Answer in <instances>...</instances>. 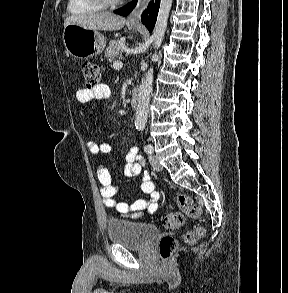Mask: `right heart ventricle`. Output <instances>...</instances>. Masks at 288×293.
<instances>
[{"instance_id": "e07e8e85", "label": "right heart ventricle", "mask_w": 288, "mask_h": 293, "mask_svg": "<svg viewBox=\"0 0 288 293\" xmlns=\"http://www.w3.org/2000/svg\"><path fill=\"white\" fill-rule=\"evenodd\" d=\"M105 8V5L98 0H68L67 9L72 14H85L98 12Z\"/></svg>"}]
</instances>
